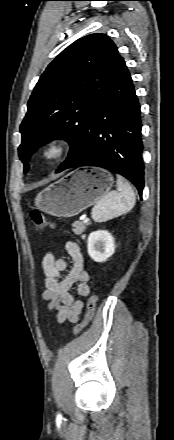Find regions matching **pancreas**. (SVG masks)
Instances as JSON below:
<instances>
[{"instance_id":"obj_1","label":"pancreas","mask_w":174,"mask_h":440,"mask_svg":"<svg viewBox=\"0 0 174 440\" xmlns=\"http://www.w3.org/2000/svg\"><path fill=\"white\" fill-rule=\"evenodd\" d=\"M90 224H91L90 221H88V222H84V221L74 222L72 224L73 231L76 235H79V236H81L82 239H84L85 238V234H84L85 230H86L87 226Z\"/></svg>"}]
</instances>
